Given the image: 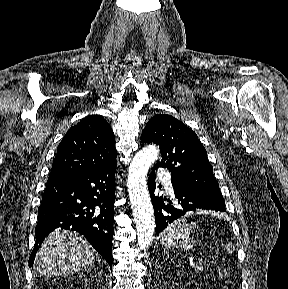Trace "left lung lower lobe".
Returning a JSON list of instances; mask_svg holds the SVG:
<instances>
[{
    "label": "left lung lower lobe",
    "mask_w": 288,
    "mask_h": 289,
    "mask_svg": "<svg viewBox=\"0 0 288 289\" xmlns=\"http://www.w3.org/2000/svg\"><path fill=\"white\" fill-rule=\"evenodd\" d=\"M157 168L158 167L156 166L153 168L148 179V189L155 212L157 235L174 220L183 216L188 211L204 209L226 212L224 201L195 190L186 189L175 185H173V187L176 203L173 204L170 200H168L169 204H165L164 200H167L165 197H156L154 194L156 188L155 170Z\"/></svg>",
    "instance_id": "0a47b994"
}]
</instances>
